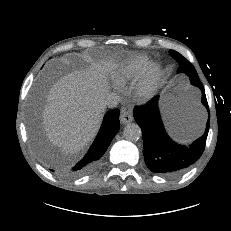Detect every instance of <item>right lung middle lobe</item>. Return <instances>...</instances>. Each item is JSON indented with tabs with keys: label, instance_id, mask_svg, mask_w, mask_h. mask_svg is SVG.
<instances>
[{
	"label": "right lung middle lobe",
	"instance_id": "obj_1",
	"mask_svg": "<svg viewBox=\"0 0 231 231\" xmlns=\"http://www.w3.org/2000/svg\"><path fill=\"white\" fill-rule=\"evenodd\" d=\"M36 127V126H35ZM37 128V127H36ZM36 128H32V133H33V141L36 145V147H39V139H40V134L39 132L37 131ZM41 141V139H40Z\"/></svg>",
	"mask_w": 231,
	"mask_h": 231
}]
</instances>
